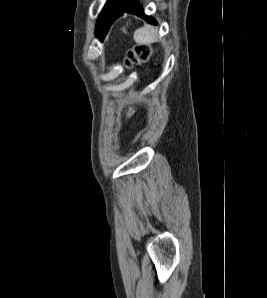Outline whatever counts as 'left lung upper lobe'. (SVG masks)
Masks as SVG:
<instances>
[{
    "instance_id": "1",
    "label": "left lung upper lobe",
    "mask_w": 267,
    "mask_h": 298,
    "mask_svg": "<svg viewBox=\"0 0 267 298\" xmlns=\"http://www.w3.org/2000/svg\"><path fill=\"white\" fill-rule=\"evenodd\" d=\"M121 1L122 0H112V1L108 0V2L106 3V5H105L104 8L109 7V6L113 5V4L119 3Z\"/></svg>"
}]
</instances>
